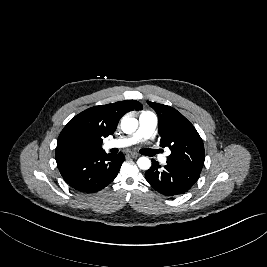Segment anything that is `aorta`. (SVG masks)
I'll use <instances>...</instances> for the list:
<instances>
[{"label": "aorta", "mask_w": 267, "mask_h": 267, "mask_svg": "<svg viewBox=\"0 0 267 267\" xmlns=\"http://www.w3.org/2000/svg\"><path fill=\"white\" fill-rule=\"evenodd\" d=\"M138 128V120L133 117L125 116L121 120V129L126 134L134 133ZM137 165L142 170H148L151 167V160L148 157H140Z\"/></svg>", "instance_id": "1"}]
</instances>
